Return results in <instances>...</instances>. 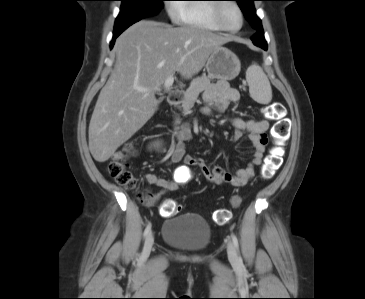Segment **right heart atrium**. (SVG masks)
<instances>
[{
	"label": "right heart atrium",
	"mask_w": 365,
	"mask_h": 299,
	"mask_svg": "<svg viewBox=\"0 0 365 299\" xmlns=\"http://www.w3.org/2000/svg\"><path fill=\"white\" fill-rule=\"evenodd\" d=\"M167 8H168V13H169L170 17L176 18L178 8L175 6V4H170L167 6Z\"/></svg>",
	"instance_id": "d8ad5b80"
}]
</instances>
